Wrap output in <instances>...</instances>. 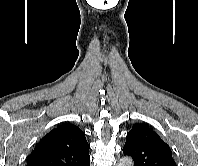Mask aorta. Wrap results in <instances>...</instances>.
Here are the masks:
<instances>
[{
  "instance_id": "aorta-1",
  "label": "aorta",
  "mask_w": 198,
  "mask_h": 166,
  "mask_svg": "<svg viewBox=\"0 0 198 166\" xmlns=\"http://www.w3.org/2000/svg\"><path fill=\"white\" fill-rule=\"evenodd\" d=\"M117 166H134V162L131 157L125 156L119 160Z\"/></svg>"
}]
</instances>
